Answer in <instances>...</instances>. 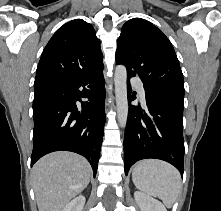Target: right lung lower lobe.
Returning a JSON list of instances; mask_svg holds the SVG:
<instances>
[{
	"mask_svg": "<svg viewBox=\"0 0 221 211\" xmlns=\"http://www.w3.org/2000/svg\"><path fill=\"white\" fill-rule=\"evenodd\" d=\"M102 70L35 92L31 166L45 154L66 150L83 155L95 176L106 121ZM81 98L88 102L79 111Z\"/></svg>",
	"mask_w": 221,
	"mask_h": 211,
	"instance_id": "98d812e1",
	"label": "right lung lower lobe"
}]
</instances>
